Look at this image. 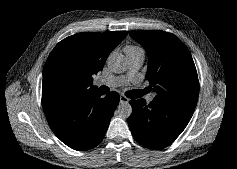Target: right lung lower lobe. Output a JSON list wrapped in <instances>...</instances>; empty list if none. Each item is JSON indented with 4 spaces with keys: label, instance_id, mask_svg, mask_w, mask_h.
Masks as SVG:
<instances>
[{
    "label": "right lung lower lobe",
    "instance_id": "98d812e1",
    "mask_svg": "<svg viewBox=\"0 0 237 169\" xmlns=\"http://www.w3.org/2000/svg\"><path fill=\"white\" fill-rule=\"evenodd\" d=\"M118 103L117 92L102 97L94 87L45 115L52 131L63 143L84 151L102 141Z\"/></svg>",
    "mask_w": 237,
    "mask_h": 169
}]
</instances>
